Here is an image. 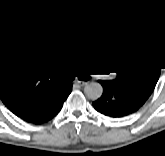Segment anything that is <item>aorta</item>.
Listing matches in <instances>:
<instances>
[{
    "mask_svg": "<svg viewBox=\"0 0 165 156\" xmlns=\"http://www.w3.org/2000/svg\"><path fill=\"white\" fill-rule=\"evenodd\" d=\"M102 92L103 88L101 84L96 82L86 84V86L84 87V93L86 94V96L93 100L98 99L102 95Z\"/></svg>",
    "mask_w": 165,
    "mask_h": 156,
    "instance_id": "obj_1",
    "label": "aorta"
}]
</instances>
